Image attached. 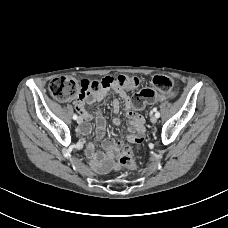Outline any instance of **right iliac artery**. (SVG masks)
Masks as SVG:
<instances>
[{
  "instance_id": "1",
  "label": "right iliac artery",
  "mask_w": 228,
  "mask_h": 228,
  "mask_svg": "<svg viewBox=\"0 0 228 228\" xmlns=\"http://www.w3.org/2000/svg\"><path fill=\"white\" fill-rule=\"evenodd\" d=\"M78 116L76 114L73 115V119L76 120Z\"/></svg>"
}]
</instances>
